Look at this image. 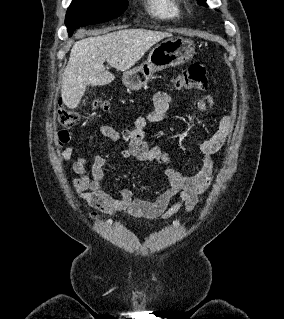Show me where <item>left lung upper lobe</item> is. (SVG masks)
Segmentation results:
<instances>
[{"instance_id": "5c2ea615", "label": "left lung upper lobe", "mask_w": 284, "mask_h": 319, "mask_svg": "<svg viewBox=\"0 0 284 319\" xmlns=\"http://www.w3.org/2000/svg\"><path fill=\"white\" fill-rule=\"evenodd\" d=\"M197 1H198V4L207 6V4L205 3L206 0H197Z\"/></svg>"}]
</instances>
